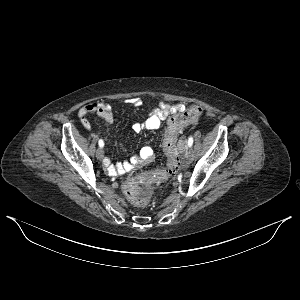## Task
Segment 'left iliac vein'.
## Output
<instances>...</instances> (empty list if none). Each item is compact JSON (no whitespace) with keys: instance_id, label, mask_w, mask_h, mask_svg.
Wrapping results in <instances>:
<instances>
[{"instance_id":"obj_1","label":"left iliac vein","mask_w":300,"mask_h":300,"mask_svg":"<svg viewBox=\"0 0 300 300\" xmlns=\"http://www.w3.org/2000/svg\"><path fill=\"white\" fill-rule=\"evenodd\" d=\"M185 152H186V158L189 162H192L193 160V151L190 147H186L185 149Z\"/></svg>"}]
</instances>
